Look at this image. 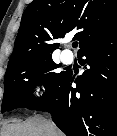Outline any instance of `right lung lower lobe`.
<instances>
[{
  "mask_svg": "<svg viewBox=\"0 0 117 136\" xmlns=\"http://www.w3.org/2000/svg\"><path fill=\"white\" fill-rule=\"evenodd\" d=\"M78 55L83 74L74 80L67 73L50 93L26 107L50 112L67 136H117V28Z\"/></svg>",
  "mask_w": 117,
  "mask_h": 136,
  "instance_id": "obj_1",
  "label": "right lung lower lobe"
}]
</instances>
